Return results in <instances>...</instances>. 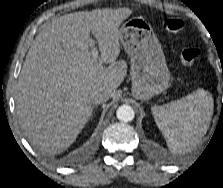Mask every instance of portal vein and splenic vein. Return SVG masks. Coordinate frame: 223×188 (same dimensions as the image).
Masks as SVG:
<instances>
[{
  "mask_svg": "<svg viewBox=\"0 0 223 188\" xmlns=\"http://www.w3.org/2000/svg\"><path fill=\"white\" fill-rule=\"evenodd\" d=\"M94 45H95L94 40H90V46L92 47V50H91L92 57L94 59H97L99 56V53H98L97 48Z\"/></svg>",
  "mask_w": 223,
  "mask_h": 188,
  "instance_id": "18ae733b",
  "label": "portal vein and splenic vein"
}]
</instances>
